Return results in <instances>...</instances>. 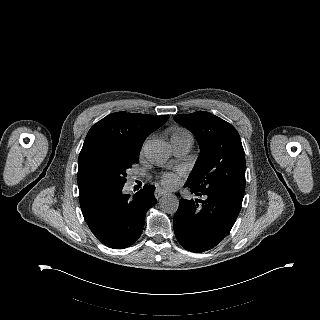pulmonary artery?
<instances>
[{
	"instance_id": "obj_1",
	"label": "pulmonary artery",
	"mask_w": 320,
	"mask_h": 320,
	"mask_svg": "<svg viewBox=\"0 0 320 320\" xmlns=\"http://www.w3.org/2000/svg\"><path fill=\"white\" fill-rule=\"evenodd\" d=\"M170 144L175 156L182 157L185 156L192 144V140L189 139H170Z\"/></svg>"
}]
</instances>
